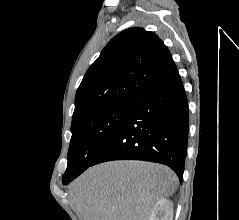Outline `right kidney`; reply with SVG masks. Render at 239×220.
Masks as SVG:
<instances>
[{
    "label": "right kidney",
    "instance_id": "obj_1",
    "mask_svg": "<svg viewBox=\"0 0 239 220\" xmlns=\"http://www.w3.org/2000/svg\"><path fill=\"white\" fill-rule=\"evenodd\" d=\"M149 220H173L172 203L166 199H160L151 211Z\"/></svg>",
    "mask_w": 239,
    "mask_h": 220
}]
</instances>
